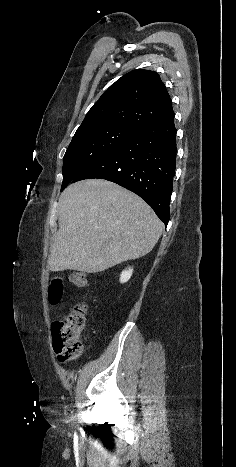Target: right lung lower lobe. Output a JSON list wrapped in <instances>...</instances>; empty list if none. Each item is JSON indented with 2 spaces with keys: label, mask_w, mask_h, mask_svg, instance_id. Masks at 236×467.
Listing matches in <instances>:
<instances>
[{
  "label": "right lung lower lobe",
  "mask_w": 236,
  "mask_h": 467,
  "mask_svg": "<svg viewBox=\"0 0 236 467\" xmlns=\"http://www.w3.org/2000/svg\"><path fill=\"white\" fill-rule=\"evenodd\" d=\"M176 151L173 113L137 131L73 182L99 178L117 183L143 198L167 225Z\"/></svg>",
  "instance_id": "98d812e1"
}]
</instances>
